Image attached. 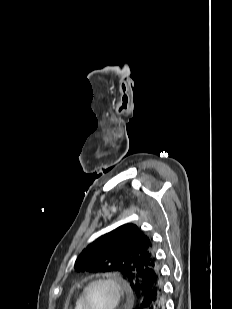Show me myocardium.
Wrapping results in <instances>:
<instances>
[{
  "label": "myocardium",
  "mask_w": 232,
  "mask_h": 309,
  "mask_svg": "<svg viewBox=\"0 0 232 309\" xmlns=\"http://www.w3.org/2000/svg\"><path fill=\"white\" fill-rule=\"evenodd\" d=\"M96 284L108 285L113 290L115 299L110 309H119L126 297V288L119 278L110 275L95 277L86 284L80 296L81 309H87L86 298L88 290Z\"/></svg>",
  "instance_id": "1"
}]
</instances>
